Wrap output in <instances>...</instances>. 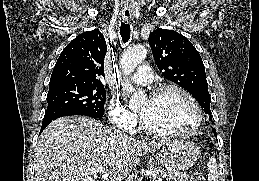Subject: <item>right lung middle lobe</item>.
Masks as SVG:
<instances>
[{
    "label": "right lung middle lobe",
    "instance_id": "dd1d6c3e",
    "mask_svg": "<svg viewBox=\"0 0 259 181\" xmlns=\"http://www.w3.org/2000/svg\"><path fill=\"white\" fill-rule=\"evenodd\" d=\"M106 91L104 87L61 84L49 86L48 107L43 122L54 120L67 113L83 112L102 117Z\"/></svg>",
    "mask_w": 259,
    "mask_h": 181
}]
</instances>
